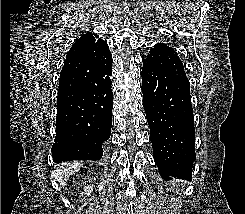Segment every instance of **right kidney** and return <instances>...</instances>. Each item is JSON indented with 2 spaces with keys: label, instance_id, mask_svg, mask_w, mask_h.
<instances>
[{
  "label": "right kidney",
  "instance_id": "obj_1",
  "mask_svg": "<svg viewBox=\"0 0 245 214\" xmlns=\"http://www.w3.org/2000/svg\"><path fill=\"white\" fill-rule=\"evenodd\" d=\"M93 190L92 186H86L84 187V192H82V194L84 195H90L91 191Z\"/></svg>",
  "mask_w": 245,
  "mask_h": 214
}]
</instances>
